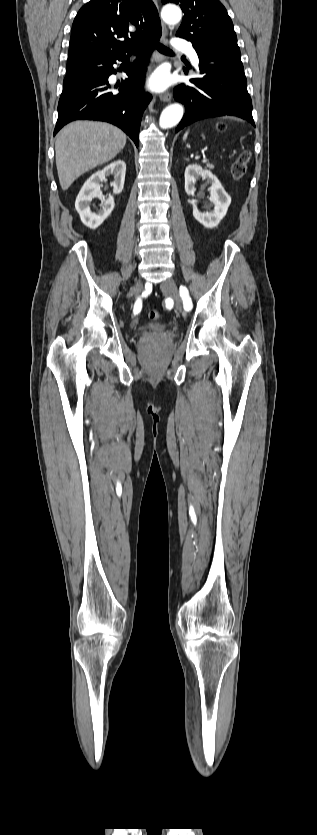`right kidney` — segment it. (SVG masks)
<instances>
[{
	"mask_svg": "<svg viewBox=\"0 0 317 835\" xmlns=\"http://www.w3.org/2000/svg\"><path fill=\"white\" fill-rule=\"evenodd\" d=\"M126 164L123 160H117L107 165L102 170L92 174L82 186L76 201L75 208L79 213L81 221L90 229H96L104 220L110 215L114 209V197L109 196L105 198L100 191V181L105 180L107 176H114L112 182L113 194L122 192L125 181ZM93 198L101 200L100 208L96 212H92L89 202Z\"/></svg>",
	"mask_w": 317,
	"mask_h": 835,
	"instance_id": "ca27d5eb",
	"label": "right kidney"
}]
</instances>
